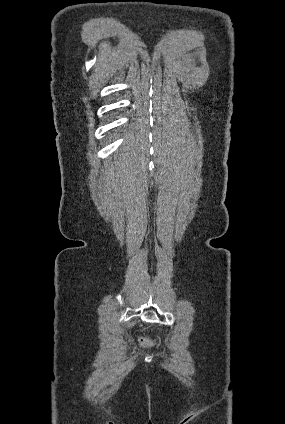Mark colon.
Listing matches in <instances>:
<instances>
[{"label": "colon", "instance_id": "5ec220e1", "mask_svg": "<svg viewBox=\"0 0 285 424\" xmlns=\"http://www.w3.org/2000/svg\"><path fill=\"white\" fill-rule=\"evenodd\" d=\"M142 343H145L146 341L144 339L141 340Z\"/></svg>", "mask_w": 285, "mask_h": 424}]
</instances>
